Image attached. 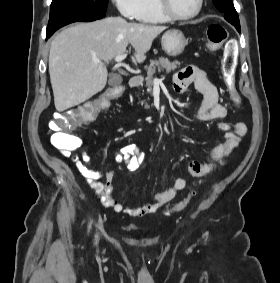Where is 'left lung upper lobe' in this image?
I'll return each mask as SVG.
<instances>
[{
    "label": "left lung upper lobe",
    "instance_id": "5c2ea615",
    "mask_svg": "<svg viewBox=\"0 0 280 283\" xmlns=\"http://www.w3.org/2000/svg\"><path fill=\"white\" fill-rule=\"evenodd\" d=\"M219 11L225 14L224 18L232 25L240 26L238 13L234 8L232 0H213Z\"/></svg>",
    "mask_w": 280,
    "mask_h": 283
}]
</instances>
